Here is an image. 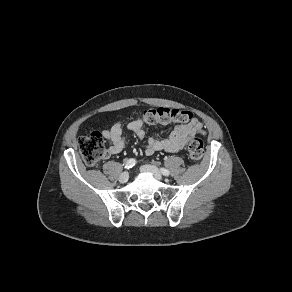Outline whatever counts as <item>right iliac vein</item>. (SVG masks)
<instances>
[{"label":"right iliac vein","mask_w":292,"mask_h":292,"mask_svg":"<svg viewBox=\"0 0 292 292\" xmlns=\"http://www.w3.org/2000/svg\"><path fill=\"white\" fill-rule=\"evenodd\" d=\"M129 179V173L128 172H123L120 176H119V182L120 183H126Z\"/></svg>","instance_id":"63e3f726"}]
</instances>
